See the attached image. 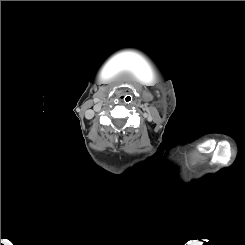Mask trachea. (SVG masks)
I'll list each match as a JSON object with an SVG mask.
<instances>
[{
    "instance_id": "3493384b",
    "label": "trachea",
    "mask_w": 245,
    "mask_h": 245,
    "mask_svg": "<svg viewBox=\"0 0 245 245\" xmlns=\"http://www.w3.org/2000/svg\"><path fill=\"white\" fill-rule=\"evenodd\" d=\"M123 100H124L125 103L129 104V103H131L132 98H131V96L127 95L126 97H124Z\"/></svg>"
}]
</instances>
